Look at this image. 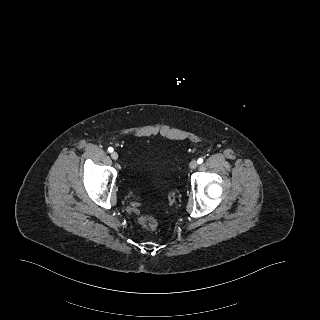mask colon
I'll list each match as a JSON object with an SVG mask.
<instances>
[{"mask_svg":"<svg viewBox=\"0 0 320 320\" xmlns=\"http://www.w3.org/2000/svg\"><path fill=\"white\" fill-rule=\"evenodd\" d=\"M139 224L149 230H154L158 226L157 219L152 216H142L139 218Z\"/></svg>","mask_w":320,"mask_h":320,"instance_id":"5ec220e1","label":"colon"}]
</instances>
